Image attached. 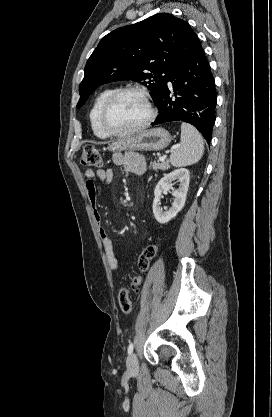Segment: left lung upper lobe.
<instances>
[{
	"label": "left lung upper lobe",
	"instance_id": "5c2ea615",
	"mask_svg": "<svg viewBox=\"0 0 272 417\" xmlns=\"http://www.w3.org/2000/svg\"><path fill=\"white\" fill-rule=\"evenodd\" d=\"M200 48L189 24L168 13L118 28L101 39L88 59L77 108L98 86L117 80L146 85L156 105L172 71Z\"/></svg>",
	"mask_w": 272,
	"mask_h": 417
}]
</instances>
